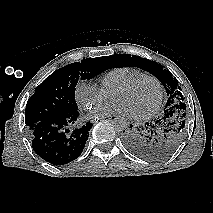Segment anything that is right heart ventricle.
<instances>
[{
    "instance_id": "right-heart-ventricle-1",
    "label": "right heart ventricle",
    "mask_w": 213,
    "mask_h": 213,
    "mask_svg": "<svg viewBox=\"0 0 213 213\" xmlns=\"http://www.w3.org/2000/svg\"><path fill=\"white\" fill-rule=\"evenodd\" d=\"M143 75L147 74L136 67H116L104 73L100 77L101 87L105 90L107 94H110L114 92L117 87Z\"/></svg>"
}]
</instances>
